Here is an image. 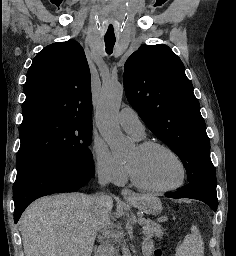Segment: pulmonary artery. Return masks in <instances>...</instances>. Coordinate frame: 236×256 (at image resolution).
Returning a JSON list of instances; mask_svg holds the SVG:
<instances>
[{
  "mask_svg": "<svg viewBox=\"0 0 236 256\" xmlns=\"http://www.w3.org/2000/svg\"><path fill=\"white\" fill-rule=\"evenodd\" d=\"M121 127L132 134L135 139L141 140L145 136L144 126L141 123L136 111L130 107L122 109L117 116Z\"/></svg>",
  "mask_w": 236,
  "mask_h": 256,
  "instance_id": "obj_1",
  "label": "pulmonary artery"
}]
</instances>
